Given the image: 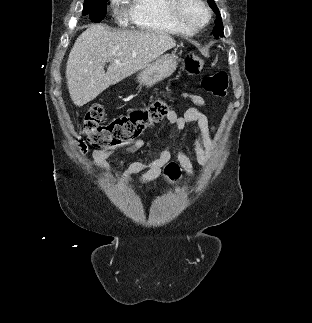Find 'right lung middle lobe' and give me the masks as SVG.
I'll use <instances>...</instances> for the list:
<instances>
[{
    "label": "right lung middle lobe",
    "mask_w": 312,
    "mask_h": 323,
    "mask_svg": "<svg viewBox=\"0 0 312 323\" xmlns=\"http://www.w3.org/2000/svg\"><path fill=\"white\" fill-rule=\"evenodd\" d=\"M107 0H85L82 14L89 15L90 19L98 23L107 13Z\"/></svg>",
    "instance_id": "right-lung-middle-lobe-1"
}]
</instances>
